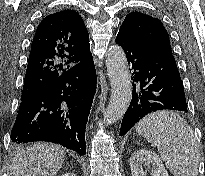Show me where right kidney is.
I'll return each mask as SVG.
<instances>
[{
	"instance_id": "obj_1",
	"label": "right kidney",
	"mask_w": 205,
	"mask_h": 176,
	"mask_svg": "<svg viewBox=\"0 0 205 176\" xmlns=\"http://www.w3.org/2000/svg\"><path fill=\"white\" fill-rule=\"evenodd\" d=\"M61 176H76V175L72 172H66V173L62 174Z\"/></svg>"
}]
</instances>
